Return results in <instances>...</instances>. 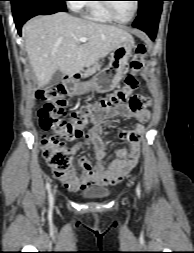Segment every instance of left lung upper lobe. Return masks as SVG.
Wrapping results in <instances>:
<instances>
[{
  "label": "left lung upper lobe",
  "mask_w": 194,
  "mask_h": 253,
  "mask_svg": "<svg viewBox=\"0 0 194 253\" xmlns=\"http://www.w3.org/2000/svg\"><path fill=\"white\" fill-rule=\"evenodd\" d=\"M137 1L139 2V11H140V9L151 0H137Z\"/></svg>",
  "instance_id": "5c2ea615"
}]
</instances>
